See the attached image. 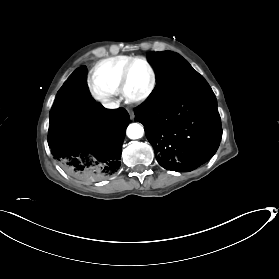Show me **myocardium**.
Returning <instances> with one entry per match:
<instances>
[{"label":"myocardium","instance_id":"obj_1","mask_svg":"<svg viewBox=\"0 0 279 279\" xmlns=\"http://www.w3.org/2000/svg\"><path fill=\"white\" fill-rule=\"evenodd\" d=\"M135 62L144 63L146 65V67L148 68L150 75H151V82H150L148 89L139 96L130 95L128 92V89H127L129 72H130L132 65ZM156 86H157L156 71H155L154 67L152 66V64L145 57L135 56L127 61V63L124 65V67L122 69V72L120 75V84H119V94L122 96V98L124 100H126L127 102H131V103H140V102L146 101L153 94V92L156 89Z\"/></svg>","mask_w":279,"mask_h":279}]
</instances>
